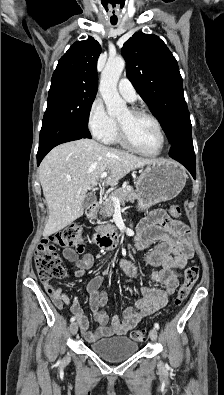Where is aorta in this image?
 <instances>
[{
  "instance_id": "762f6f07",
  "label": "aorta",
  "mask_w": 224,
  "mask_h": 395,
  "mask_svg": "<svg viewBox=\"0 0 224 395\" xmlns=\"http://www.w3.org/2000/svg\"><path fill=\"white\" fill-rule=\"evenodd\" d=\"M124 68L123 58L109 59L101 74L99 91L111 117H117L127 111L126 102L117 90V83Z\"/></svg>"
}]
</instances>
